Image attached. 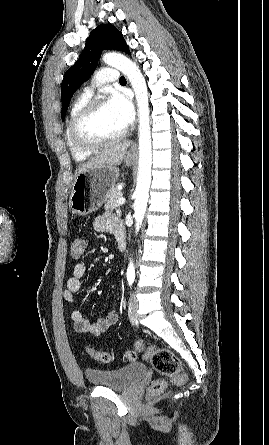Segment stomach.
Returning a JSON list of instances; mask_svg holds the SVG:
<instances>
[{
    "instance_id": "stomach-1",
    "label": "stomach",
    "mask_w": 269,
    "mask_h": 445,
    "mask_svg": "<svg viewBox=\"0 0 269 445\" xmlns=\"http://www.w3.org/2000/svg\"><path fill=\"white\" fill-rule=\"evenodd\" d=\"M124 161L126 165H131L134 159L126 156ZM119 175V169L115 166L97 167L79 173L72 184L69 199L72 212L86 216L100 208L115 187Z\"/></svg>"
}]
</instances>
